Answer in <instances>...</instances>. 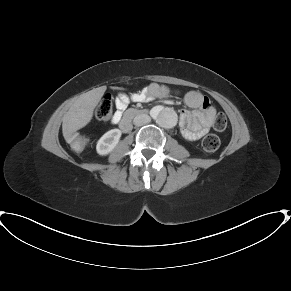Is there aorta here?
Instances as JSON below:
<instances>
[{"label": "aorta", "instance_id": "1", "mask_svg": "<svg viewBox=\"0 0 291 291\" xmlns=\"http://www.w3.org/2000/svg\"><path fill=\"white\" fill-rule=\"evenodd\" d=\"M153 115L156 123L163 128H172L177 121L176 113L170 108L156 110Z\"/></svg>", "mask_w": 291, "mask_h": 291}]
</instances>
